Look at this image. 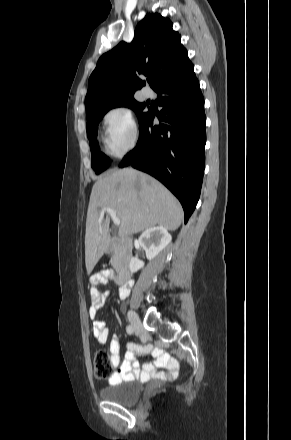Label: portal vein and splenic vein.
I'll list each match as a JSON object with an SVG mask.
<instances>
[{
	"instance_id": "1",
	"label": "portal vein and splenic vein",
	"mask_w": 291,
	"mask_h": 440,
	"mask_svg": "<svg viewBox=\"0 0 291 440\" xmlns=\"http://www.w3.org/2000/svg\"><path fill=\"white\" fill-rule=\"evenodd\" d=\"M104 212H107L111 216L113 223L116 226L120 225L121 221H120V219L117 218L115 210H113L110 207H102L101 216H103Z\"/></svg>"
}]
</instances>
